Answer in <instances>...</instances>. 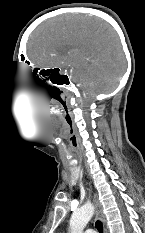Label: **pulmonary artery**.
Returning <instances> with one entry per match:
<instances>
[{
  "label": "pulmonary artery",
  "instance_id": "pulmonary-artery-1",
  "mask_svg": "<svg viewBox=\"0 0 145 233\" xmlns=\"http://www.w3.org/2000/svg\"><path fill=\"white\" fill-rule=\"evenodd\" d=\"M85 233H96L94 230H91V229H87L86 231H85Z\"/></svg>",
  "mask_w": 145,
  "mask_h": 233
}]
</instances>
